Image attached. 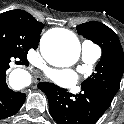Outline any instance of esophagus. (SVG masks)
Masks as SVG:
<instances>
[{"label":"esophagus","mask_w":124,"mask_h":124,"mask_svg":"<svg viewBox=\"0 0 124 124\" xmlns=\"http://www.w3.org/2000/svg\"><path fill=\"white\" fill-rule=\"evenodd\" d=\"M42 80H43L42 77H39V76L36 77V82H40V81H42Z\"/></svg>","instance_id":"1"}]
</instances>
